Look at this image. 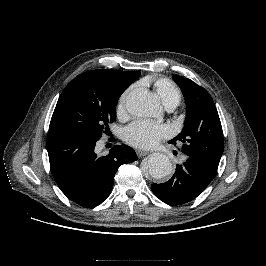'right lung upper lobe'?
<instances>
[{
	"mask_svg": "<svg viewBox=\"0 0 266 266\" xmlns=\"http://www.w3.org/2000/svg\"><path fill=\"white\" fill-rule=\"evenodd\" d=\"M84 75H102V76H111L120 79L121 81L132 83L139 77V72H125L119 70H92L85 73L80 74L79 76Z\"/></svg>",
	"mask_w": 266,
	"mask_h": 266,
	"instance_id": "1",
	"label": "right lung upper lobe"
}]
</instances>
